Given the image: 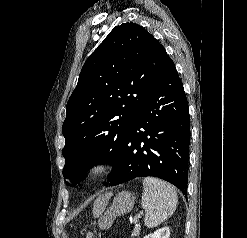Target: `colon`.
I'll return each mask as SVG.
<instances>
[{
	"instance_id": "colon-1",
	"label": "colon",
	"mask_w": 247,
	"mask_h": 238,
	"mask_svg": "<svg viewBox=\"0 0 247 238\" xmlns=\"http://www.w3.org/2000/svg\"><path fill=\"white\" fill-rule=\"evenodd\" d=\"M97 237V235H94V234H89L88 236H87V238H96Z\"/></svg>"
}]
</instances>
